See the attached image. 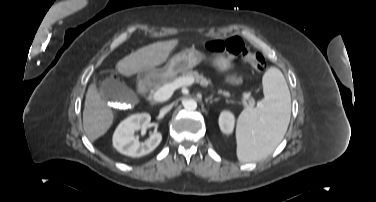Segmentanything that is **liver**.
Returning <instances> with one entry per match:
<instances>
[{
	"label": "liver",
	"mask_w": 376,
	"mask_h": 202,
	"mask_svg": "<svg viewBox=\"0 0 376 202\" xmlns=\"http://www.w3.org/2000/svg\"><path fill=\"white\" fill-rule=\"evenodd\" d=\"M177 44L178 39H173L142 47L118 61L116 69L124 76H132L143 69L154 68L167 60ZM113 119V111L102 100L96 84L92 83L87 90L83 110V126L89 140L93 142L104 135Z\"/></svg>",
	"instance_id": "obj_1"
}]
</instances>
